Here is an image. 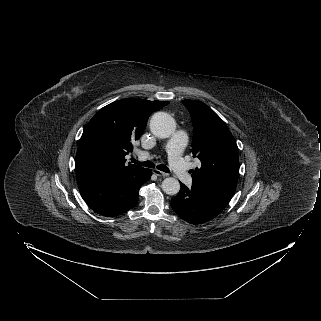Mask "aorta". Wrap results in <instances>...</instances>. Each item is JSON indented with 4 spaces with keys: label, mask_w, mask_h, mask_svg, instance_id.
Masks as SVG:
<instances>
[{
    "label": "aorta",
    "mask_w": 321,
    "mask_h": 321,
    "mask_svg": "<svg viewBox=\"0 0 321 321\" xmlns=\"http://www.w3.org/2000/svg\"><path fill=\"white\" fill-rule=\"evenodd\" d=\"M150 130L158 138H169L175 130L174 119L165 112H157L150 120ZM162 189L168 195H176L180 190V183L177 179L168 177L163 180Z\"/></svg>",
    "instance_id": "obj_1"
}]
</instances>
